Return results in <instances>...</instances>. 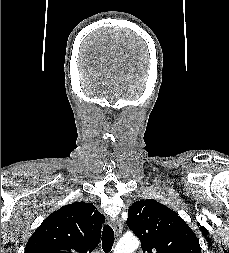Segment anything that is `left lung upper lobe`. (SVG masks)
I'll use <instances>...</instances> for the list:
<instances>
[{"instance_id": "obj_1", "label": "left lung upper lobe", "mask_w": 229, "mask_h": 253, "mask_svg": "<svg viewBox=\"0 0 229 253\" xmlns=\"http://www.w3.org/2000/svg\"><path fill=\"white\" fill-rule=\"evenodd\" d=\"M127 225L140 239L143 253H201L191 228L156 200L134 202L128 209Z\"/></svg>"}]
</instances>
